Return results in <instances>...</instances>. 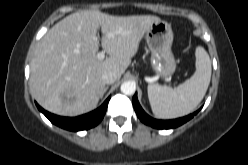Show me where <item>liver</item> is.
<instances>
[{
    "label": "liver",
    "instance_id": "1",
    "mask_svg": "<svg viewBox=\"0 0 248 165\" xmlns=\"http://www.w3.org/2000/svg\"><path fill=\"white\" fill-rule=\"evenodd\" d=\"M159 20L150 15L112 16L97 10L65 17L36 46L30 65L32 96L45 110L61 116L93 110L105 87L103 74L113 71L120 78L146 31ZM98 29L103 34L101 46L109 55L105 60L97 57Z\"/></svg>",
    "mask_w": 248,
    "mask_h": 165
}]
</instances>
